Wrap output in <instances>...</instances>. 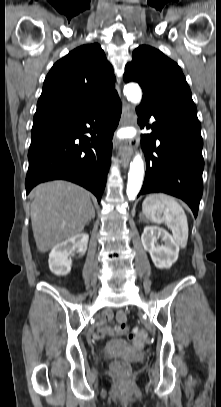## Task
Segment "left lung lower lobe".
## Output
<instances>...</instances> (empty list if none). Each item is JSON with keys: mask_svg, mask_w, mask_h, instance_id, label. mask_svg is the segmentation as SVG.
<instances>
[{"mask_svg": "<svg viewBox=\"0 0 221 407\" xmlns=\"http://www.w3.org/2000/svg\"><path fill=\"white\" fill-rule=\"evenodd\" d=\"M143 127L153 116V133L143 136L146 173L140 194L164 192L184 200L197 216L203 193V139L197 109L177 105L162 109L139 106ZM160 145H156V140Z\"/></svg>", "mask_w": 221, "mask_h": 407, "instance_id": "0a47b994", "label": "left lung lower lobe"}]
</instances>
